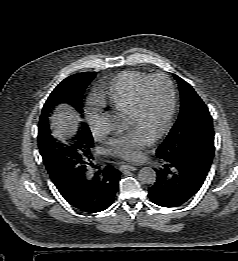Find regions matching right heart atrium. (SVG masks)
Returning <instances> with one entry per match:
<instances>
[{"label":"right heart atrium","instance_id":"1","mask_svg":"<svg viewBox=\"0 0 238 261\" xmlns=\"http://www.w3.org/2000/svg\"><path fill=\"white\" fill-rule=\"evenodd\" d=\"M86 118L93 135L102 137L105 134V129L101 113L95 108H89L86 112Z\"/></svg>","mask_w":238,"mask_h":261}]
</instances>
